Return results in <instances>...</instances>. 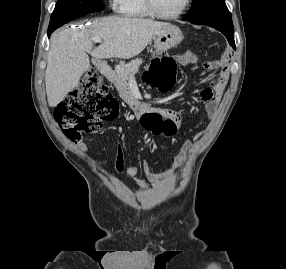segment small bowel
<instances>
[{"mask_svg": "<svg viewBox=\"0 0 286 269\" xmlns=\"http://www.w3.org/2000/svg\"><path fill=\"white\" fill-rule=\"evenodd\" d=\"M175 60L181 66H189L196 64L200 60V56L197 53L188 50L184 53L176 55ZM203 67L208 70L218 71V76L212 85L203 89L200 93L202 99L206 102L207 117L208 119L213 120L217 114L218 104L220 102L226 82L229 78V61L224 58L218 61L204 62ZM118 92L129 93L130 89L119 88ZM123 99H133V94H123ZM154 109H159V113H161L162 116H166V118L170 121H173L175 129L177 128V124L180 123L181 119L175 112L169 110L168 108H143L142 110L133 111L132 115L134 116L135 120H142L143 116H155L156 114H154ZM202 135L203 132L199 133L196 138H199ZM81 146L86 147L85 143H82ZM190 147L191 142L186 141L180 153L173 158V165L179 166L187 161ZM114 168L117 172H122L125 170L128 176L133 178L136 184L143 189L147 188L146 181L153 184H159L169 176L167 172H154L149 168H146L144 176L141 177L139 175V168L136 165H125L124 148L121 144L116 146Z\"/></svg>", "mask_w": 286, "mask_h": 269, "instance_id": "1", "label": "small bowel"}]
</instances>
